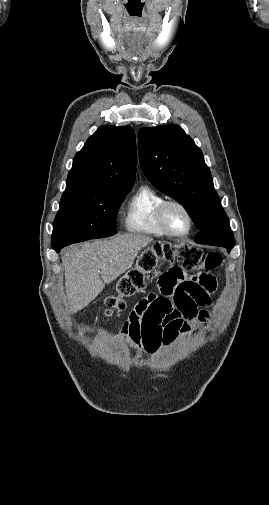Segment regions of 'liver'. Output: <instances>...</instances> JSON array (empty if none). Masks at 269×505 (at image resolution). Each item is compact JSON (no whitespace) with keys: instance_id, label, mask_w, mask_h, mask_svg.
Masks as SVG:
<instances>
[{"instance_id":"1","label":"liver","mask_w":269,"mask_h":505,"mask_svg":"<svg viewBox=\"0 0 269 505\" xmlns=\"http://www.w3.org/2000/svg\"><path fill=\"white\" fill-rule=\"evenodd\" d=\"M152 241L147 235L124 234L68 248L62 263L70 312L76 313L86 307L105 284L131 268L141 249Z\"/></svg>"}]
</instances>
